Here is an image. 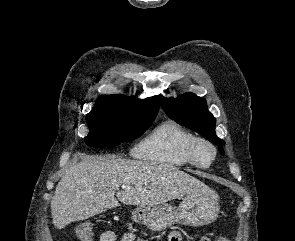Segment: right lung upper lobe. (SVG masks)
<instances>
[{"instance_id": "cb5924a9", "label": "right lung upper lobe", "mask_w": 295, "mask_h": 241, "mask_svg": "<svg viewBox=\"0 0 295 241\" xmlns=\"http://www.w3.org/2000/svg\"><path fill=\"white\" fill-rule=\"evenodd\" d=\"M101 97L120 101L129 107L137 108L154 115H157L159 109L158 96H153L146 99H138L137 97H126L124 95H110Z\"/></svg>"}]
</instances>
